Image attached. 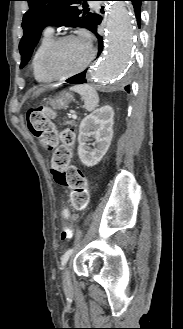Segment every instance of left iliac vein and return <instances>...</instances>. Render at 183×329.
<instances>
[{"instance_id": "1", "label": "left iliac vein", "mask_w": 183, "mask_h": 329, "mask_svg": "<svg viewBox=\"0 0 183 329\" xmlns=\"http://www.w3.org/2000/svg\"><path fill=\"white\" fill-rule=\"evenodd\" d=\"M63 287L65 292H70L72 289V284H71V274H70V267L67 266V268L64 271L63 274Z\"/></svg>"}]
</instances>
